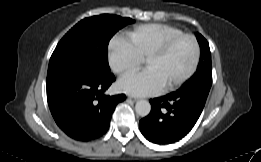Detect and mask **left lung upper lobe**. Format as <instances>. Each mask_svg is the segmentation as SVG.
I'll use <instances>...</instances> for the list:
<instances>
[{"mask_svg": "<svg viewBox=\"0 0 261 162\" xmlns=\"http://www.w3.org/2000/svg\"><path fill=\"white\" fill-rule=\"evenodd\" d=\"M197 40L200 45L201 55L197 71L194 75L184 84H204L207 86L212 85V66H211V53L207 40L199 33H196Z\"/></svg>", "mask_w": 261, "mask_h": 162, "instance_id": "obj_1", "label": "left lung upper lobe"}]
</instances>
